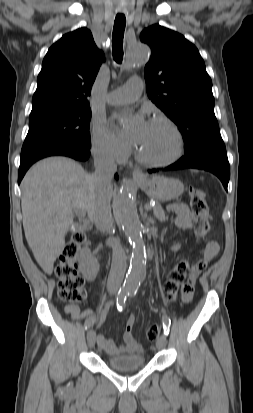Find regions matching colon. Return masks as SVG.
Listing matches in <instances>:
<instances>
[{
    "mask_svg": "<svg viewBox=\"0 0 253 413\" xmlns=\"http://www.w3.org/2000/svg\"><path fill=\"white\" fill-rule=\"evenodd\" d=\"M190 207L195 215V234L198 240H202L209 232V214L206 202V193L199 187H192L189 192ZM88 242L84 233H76L64 246L59 262L55 267V275L58 278V296L71 305H77L86 298L84 280L79 274L77 257L82 246ZM191 270V261L183 259L179 261L167 274L163 284L164 299L172 302L180 289V284L186 273ZM160 333L157 325L150 326L146 331L149 341H155Z\"/></svg>",
    "mask_w": 253,
    "mask_h": 413,
    "instance_id": "5ec220e1",
    "label": "colon"
}]
</instances>
